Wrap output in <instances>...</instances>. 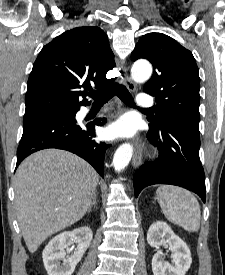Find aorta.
<instances>
[{
	"label": "aorta",
	"mask_w": 225,
	"mask_h": 275,
	"mask_svg": "<svg viewBox=\"0 0 225 275\" xmlns=\"http://www.w3.org/2000/svg\"><path fill=\"white\" fill-rule=\"evenodd\" d=\"M152 74V66L147 61H137L131 68V77L135 82L143 83L147 81ZM133 154V148L130 144L121 145L115 152L113 166L117 172L123 170L130 162Z\"/></svg>",
	"instance_id": "1"
}]
</instances>
